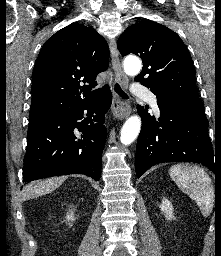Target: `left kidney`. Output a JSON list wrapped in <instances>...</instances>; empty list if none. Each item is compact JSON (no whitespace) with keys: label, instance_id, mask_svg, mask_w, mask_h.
<instances>
[{"label":"left kidney","instance_id":"obj_1","mask_svg":"<svg viewBox=\"0 0 221 256\" xmlns=\"http://www.w3.org/2000/svg\"><path fill=\"white\" fill-rule=\"evenodd\" d=\"M160 209L164 213L165 217L168 220H172L174 218L173 206H172L171 202L168 201L167 199L162 201V203L160 205Z\"/></svg>","mask_w":221,"mask_h":256}]
</instances>
